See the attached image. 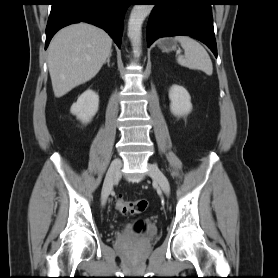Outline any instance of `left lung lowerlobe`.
Returning <instances> with one entry per match:
<instances>
[{
  "label": "left lung lower lobe",
  "mask_w": 278,
  "mask_h": 278,
  "mask_svg": "<svg viewBox=\"0 0 278 278\" xmlns=\"http://www.w3.org/2000/svg\"><path fill=\"white\" fill-rule=\"evenodd\" d=\"M155 7L147 25V44L160 37L188 35L206 44L217 57L213 0H150Z\"/></svg>",
  "instance_id": "obj_1"
}]
</instances>
